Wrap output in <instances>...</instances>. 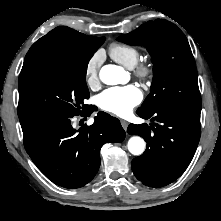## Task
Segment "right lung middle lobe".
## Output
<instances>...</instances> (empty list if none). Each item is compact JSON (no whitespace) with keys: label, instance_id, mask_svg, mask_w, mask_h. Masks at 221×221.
<instances>
[{"label":"right lung middle lobe","instance_id":"1","mask_svg":"<svg viewBox=\"0 0 221 221\" xmlns=\"http://www.w3.org/2000/svg\"><path fill=\"white\" fill-rule=\"evenodd\" d=\"M96 50L80 48L53 59L18 84L20 123L57 113L79 114L89 98L87 65ZM82 105V106H81Z\"/></svg>","mask_w":221,"mask_h":221}]
</instances>
